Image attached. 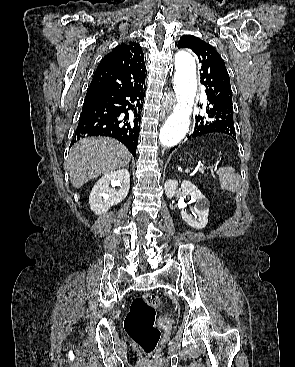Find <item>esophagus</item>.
I'll use <instances>...</instances> for the list:
<instances>
[{"mask_svg": "<svg viewBox=\"0 0 295 367\" xmlns=\"http://www.w3.org/2000/svg\"><path fill=\"white\" fill-rule=\"evenodd\" d=\"M174 102H175L174 93L170 91L168 92L166 98L163 100V104H162L163 110L165 112H170Z\"/></svg>", "mask_w": 295, "mask_h": 367, "instance_id": "obj_1", "label": "esophagus"}]
</instances>
